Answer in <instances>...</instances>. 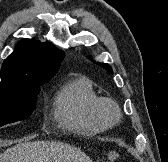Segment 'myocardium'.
I'll list each match as a JSON object with an SVG mask.
<instances>
[{
	"label": "myocardium",
	"instance_id": "1",
	"mask_svg": "<svg viewBox=\"0 0 168 162\" xmlns=\"http://www.w3.org/2000/svg\"><path fill=\"white\" fill-rule=\"evenodd\" d=\"M96 112L99 118L108 126L118 123L121 112L119 105L111 98H99L96 104Z\"/></svg>",
	"mask_w": 168,
	"mask_h": 162
}]
</instances>
